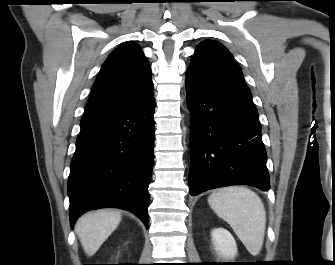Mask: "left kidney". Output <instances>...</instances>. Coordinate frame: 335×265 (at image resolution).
Wrapping results in <instances>:
<instances>
[{
    "label": "left kidney",
    "mask_w": 335,
    "mask_h": 265,
    "mask_svg": "<svg viewBox=\"0 0 335 265\" xmlns=\"http://www.w3.org/2000/svg\"><path fill=\"white\" fill-rule=\"evenodd\" d=\"M212 243L218 255L233 259L237 255V244L234 237L224 228H215L211 232Z\"/></svg>",
    "instance_id": "left-kidney-1"
}]
</instances>
